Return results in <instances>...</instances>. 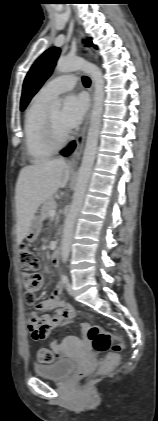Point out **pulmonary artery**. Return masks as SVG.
<instances>
[{"instance_id":"1","label":"pulmonary artery","mask_w":158,"mask_h":421,"mask_svg":"<svg viewBox=\"0 0 158 421\" xmlns=\"http://www.w3.org/2000/svg\"><path fill=\"white\" fill-rule=\"evenodd\" d=\"M77 78L73 74H64L48 81L38 92V94L46 99H53L57 95L69 91L74 88Z\"/></svg>"}]
</instances>
